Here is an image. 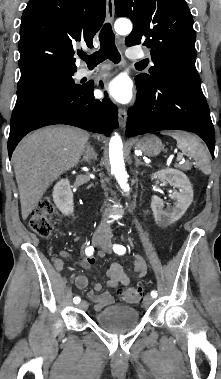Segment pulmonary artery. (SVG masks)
Here are the masks:
<instances>
[{"instance_id":"e3ab8cb5","label":"pulmonary artery","mask_w":221,"mask_h":379,"mask_svg":"<svg viewBox=\"0 0 221 379\" xmlns=\"http://www.w3.org/2000/svg\"><path fill=\"white\" fill-rule=\"evenodd\" d=\"M127 57L130 59H142L145 57V54L143 51L138 50V49H129L127 50ZM92 73V70L87 69V68H81L77 71V75L79 77H85L88 76Z\"/></svg>"}]
</instances>
